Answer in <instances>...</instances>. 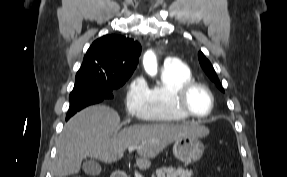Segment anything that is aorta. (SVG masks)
Wrapping results in <instances>:
<instances>
[{"mask_svg":"<svg viewBox=\"0 0 287 177\" xmlns=\"http://www.w3.org/2000/svg\"><path fill=\"white\" fill-rule=\"evenodd\" d=\"M143 65L145 71L154 76L157 73V59L152 51H147L143 57Z\"/></svg>","mask_w":287,"mask_h":177,"instance_id":"762f6f07","label":"aorta"}]
</instances>
